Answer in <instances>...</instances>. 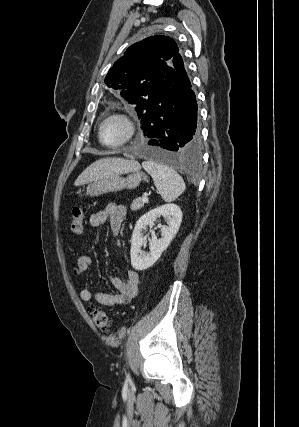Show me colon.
I'll return each mask as SVG.
<instances>
[{"label": "colon", "mask_w": 299, "mask_h": 427, "mask_svg": "<svg viewBox=\"0 0 299 427\" xmlns=\"http://www.w3.org/2000/svg\"><path fill=\"white\" fill-rule=\"evenodd\" d=\"M85 215L81 207L74 206L71 213V220L68 226V230L73 234H79L82 232ZM92 319L95 325L103 332L110 331V319L108 315L95 307L90 309Z\"/></svg>", "instance_id": "5ec220e1"}]
</instances>
